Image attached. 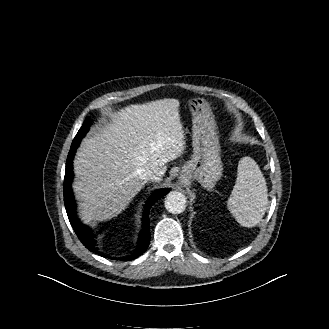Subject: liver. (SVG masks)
<instances>
[{"mask_svg":"<svg viewBox=\"0 0 329 329\" xmlns=\"http://www.w3.org/2000/svg\"><path fill=\"white\" fill-rule=\"evenodd\" d=\"M179 106L173 98L127 106L82 141L74 160L73 189L85 222L125 210L146 184L140 178L143 170H157L162 180L166 164L185 148Z\"/></svg>","mask_w":329,"mask_h":329,"instance_id":"1","label":"liver"}]
</instances>
